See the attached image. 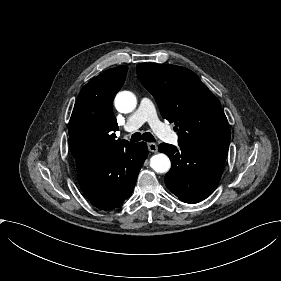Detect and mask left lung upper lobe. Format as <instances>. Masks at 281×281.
I'll return each mask as SVG.
<instances>
[{"mask_svg": "<svg viewBox=\"0 0 281 281\" xmlns=\"http://www.w3.org/2000/svg\"><path fill=\"white\" fill-rule=\"evenodd\" d=\"M136 71L162 117L175 122L180 147L228 151L227 118L218 99L195 73L180 66L147 63L137 64Z\"/></svg>", "mask_w": 281, "mask_h": 281, "instance_id": "obj_1", "label": "left lung upper lobe"}]
</instances>
